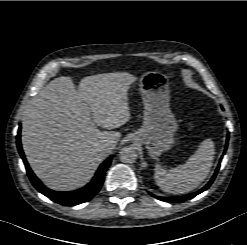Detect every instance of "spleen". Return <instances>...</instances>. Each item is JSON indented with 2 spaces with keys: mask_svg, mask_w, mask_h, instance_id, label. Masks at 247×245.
I'll list each match as a JSON object with an SVG mask.
<instances>
[{
  "mask_svg": "<svg viewBox=\"0 0 247 245\" xmlns=\"http://www.w3.org/2000/svg\"><path fill=\"white\" fill-rule=\"evenodd\" d=\"M214 143L205 139L185 164L169 171L155 167L156 184L165 192L184 194L199 186L208 176L214 160Z\"/></svg>",
  "mask_w": 247,
  "mask_h": 245,
  "instance_id": "spleen-1",
  "label": "spleen"
}]
</instances>
